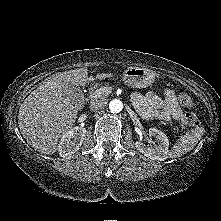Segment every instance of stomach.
Returning a JSON list of instances; mask_svg holds the SVG:
<instances>
[{"label":"stomach","instance_id":"obj_1","mask_svg":"<svg viewBox=\"0 0 221 221\" xmlns=\"http://www.w3.org/2000/svg\"><path fill=\"white\" fill-rule=\"evenodd\" d=\"M123 80L128 86L144 88L152 85L155 73L146 68L130 66L124 72Z\"/></svg>","mask_w":221,"mask_h":221}]
</instances>
